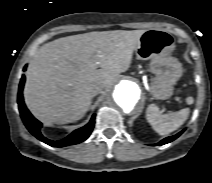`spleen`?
Here are the masks:
<instances>
[{
	"mask_svg": "<svg viewBox=\"0 0 212 183\" xmlns=\"http://www.w3.org/2000/svg\"><path fill=\"white\" fill-rule=\"evenodd\" d=\"M189 113V108H184L178 112L162 114L156 105L150 104L146 110V119L158 134L166 135L181 127Z\"/></svg>",
	"mask_w": 212,
	"mask_h": 183,
	"instance_id": "spleen-1",
	"label": "spleen"
}]
</instances>
